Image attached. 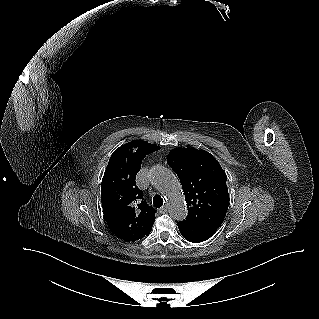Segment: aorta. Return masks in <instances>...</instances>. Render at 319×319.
<instances>
[{
  "mask_svg": "<svg viewBox=\"0 0 319 319\" xmlns=\"http://www.w3.org/2000/svg\"><path fill=\"white\" fill-rule=\"evenodd\" d=\"M150 179L153 185L163 192L170 216L175 220L185 219L187 208L183 201L180 184L174 173L163 166H155L151 170Z\"/></svg>",
  "mask_w": 319,
  "mask_h": 319,
  "instance_id": "obj_1",
  "label": "aorta"
}]
</instances>
